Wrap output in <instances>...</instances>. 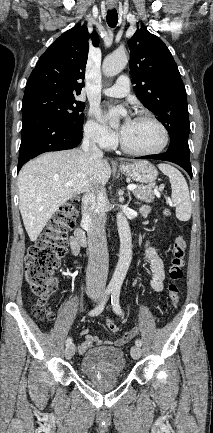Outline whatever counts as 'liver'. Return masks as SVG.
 I'll list each match as a JSON object with an SVG mask.
<instances>
[{"label":"liver","mask_w":213,"mask_h":433,"mask_svg":"<svg viewBox=\"0 0 213 433\" xmlns=\"http://www.w3.org/2000/svg\"><path fill=\"white\" fill-rule=\"evenodd\" d=\"M111 176L107 159L79 149L49 152L26 163L18 175L19 209L34 242L52 215L72 197L104 187ZM71 182V186H67Z\"/></svg>","instance_id":"obj_1"}]
</instances>
